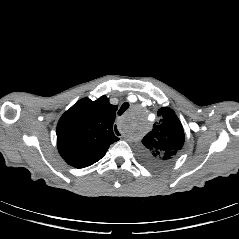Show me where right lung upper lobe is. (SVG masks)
Segmentation results:
<instances>
[{"instance_id": "cb5924a9", "label": "right lung upper lobe", "mask_w": 239, "mask_h": 239, "mask_svg": "<svg viewBox=\"0 0 239 239\" xmlns=\"http://www.w3.org/2000/svg\"><path fill=\"white\" fill-rule=\"evenodd\" d=\"M116 111L117 106L110 104L106 96L75 103L57 124V147L62 158L76 168L100 160L109 146L119 140L113 133Z\"/></svg>"}]
</instances>
